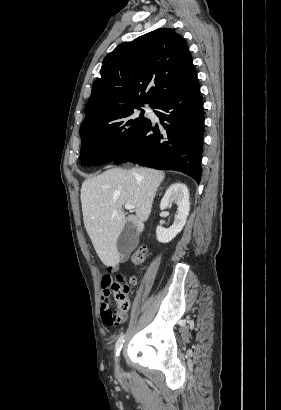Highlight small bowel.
I'll return each mask as SVG.
<instances>
[{
	"label": "small bowel",
	"instance_id": "1",
	"mask_svg": "<svg viewBox=\"0 0 281 410\" xmlns=\"http://www.w3.org/2000/svg\"><path fill=\"white\" fill-rule=\"evenodd\" d=\"M118 270V266H110L107 268V272L102 276L101 278V289H102V295H101V315L102 318L106 311L110 308L109 307V297H110V288L113 283V279L111 274L115 271ZM125 319L124 315H121V321L120 323Z\"/></svg>",
	"mask_w": 281,
	"mask_h": 410
}]
</instances>
